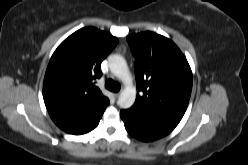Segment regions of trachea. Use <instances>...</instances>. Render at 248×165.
I'll return each instance as SVG.
<instances>
[{
  "label": "trachea",
  "mask_w": 248,
  "mask_h": 165,
  "mask_svg": "<svg viewBox=\"0 0 248 165\" xmlns=\"http://www.w3.org/2000/svg\"><path fill=\"white\" fill-rule=\"evenodd\" d=\"M105 87L106 89L113 91V92H118L121 88L120 84L118 82L113 81L112 79H108L105 82Z\"/></svg>",
  "instance_id": "3493384b"
}]
</instances>
